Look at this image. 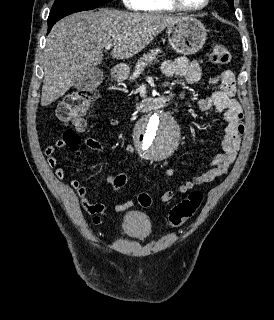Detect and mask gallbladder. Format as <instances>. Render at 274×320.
<instances>
[{"instance_id":"gallbladder-1","label":"gallbladder","mask_w":274,"mask_h":320,"mask_svg":"<svg viewBox=\"0 0 274 320\" xmlns=\"http://www.w3.org/2000/svg\"><path fill=\"white\" fill-rule=\"evenodd\" d=\"M103 75L104 68H80L73 86L77 90H96L103 80Z\"/></svg>"}]
</instances>
